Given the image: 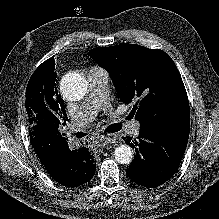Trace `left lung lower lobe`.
Segmentation results:
<instances>
[{"label":"left lung lower lobe","mask_w":219,"mask_h":219,"mask_svg":"<svg viewBox=\"0 0 219 219\" xmlns=\"http://www.w3.org/2000/svg\"><path fill=\"white\" fill-rule=\"evenodd\" d=\"M136 156L127 175L137 184L155 188L169 180L178 169L188 141H175L164 135L140 132L138 140L124 138Z\"/></svg>","instance_id":"0a47b994"}]
</instances>
